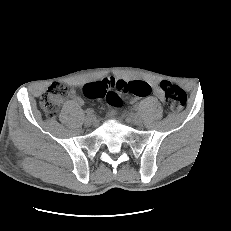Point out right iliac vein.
Segmentation results:
<instances>
[{
  "label": "right iliac vein",
  "mask_w": 231,
  "mask_h": 231,
  "mask_svg": "<svg viewBox=\"0 0 231 231\" xmlns=\"http://www.w3.org/2000/svg\"><path fill=\"white\" fill-rule=\"evenodd\" d=\"M94 123H95V118H94L93 115H87V116L85 117V124H86L87 126L92 125V124H94Z\"/></svg>",
  "instance_id": "63e3f726"
}]
</instances>
